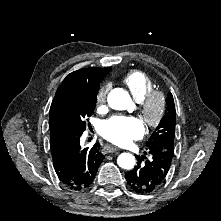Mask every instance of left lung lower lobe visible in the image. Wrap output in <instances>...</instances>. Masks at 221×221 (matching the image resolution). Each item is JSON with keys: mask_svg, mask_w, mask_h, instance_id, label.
<instances>
[{"mask_svg": "<svg viewBox=\"0 0 221 221\" xmlns=\"http://www.w3.org/2000/svg\"><path fill=\"white\" fill-rule=\"evenodd\" d=\"M148 151L152 159L141 164L144 157H139L138 165L125 174L129 186L137 193H150L162 185L174 154L168 146L148 148Z\"/></svg>", "mask_w": 221, "mask_h": 221, "instance_id": "obj_1", "label": "left lung lower lobe"}]
</instances>
